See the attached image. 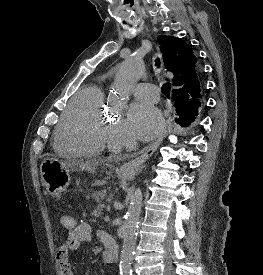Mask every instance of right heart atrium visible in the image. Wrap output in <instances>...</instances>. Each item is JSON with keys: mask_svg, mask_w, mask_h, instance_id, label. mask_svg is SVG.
Instances as JSON below:
<instances>
[{"mask_svg": "<svg viewBox=\"0 0 263 275\" xmlns=\"http://www.w3.org/2000/svg\"><path fill=\"white\" fill-rule=\"evenodd\" d=\"M109 141L114 148H119L128 142L119 126H113L109 130Z\"/></svg>", "mask_w": 263, "mask_h": 275, "instance_id": "d8ad5b80", "label": "right heart atrium"}]
</instances>
